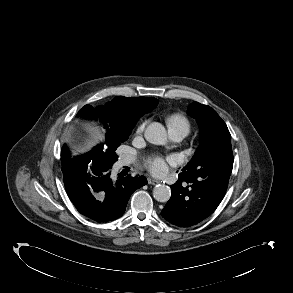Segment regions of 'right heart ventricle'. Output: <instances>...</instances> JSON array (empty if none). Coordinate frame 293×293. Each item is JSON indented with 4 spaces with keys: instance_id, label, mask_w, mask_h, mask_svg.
I'll use <instances>...</instances> for the list:
<instances>
[{
    "instance_id": "right-heart-ventricle-1",
    "label": "right heart ventricle",
    "mask_w": 293,
    "mask_h": 293,
    "mask_svg": "<svg viewBox=\"0 0 293 293\" xmlns=\"http://www.w3.org/2000/svg\"><path fill=\"white\" fill-rule=\"evenodd\" d=\"M168 129H182L187 133L190 130V122L181 113H172L166 117Z\"/></svg>"
}]
</instances>
